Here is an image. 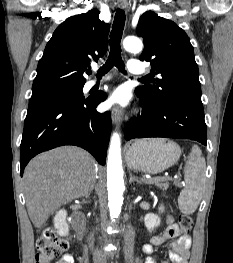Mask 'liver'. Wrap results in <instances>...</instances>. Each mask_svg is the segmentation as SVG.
<instances>
[{"instance_id": "obj_1", "label": "liver", "mask_w": 233, "mask_h": 263, "mask_svg": "<svg viewBox=\"0 0 233 263\" xmlns=\"http://www.w3.org/2000/svg\"><path fill=\"white\" fill-rule=\"evenodd\" d=\"M95 159L85 150L63 146L33 158L25 168L28 215L41 228L60 206L87 194L95 181Z\"/></svg>"}]
</instances>
